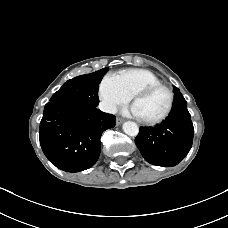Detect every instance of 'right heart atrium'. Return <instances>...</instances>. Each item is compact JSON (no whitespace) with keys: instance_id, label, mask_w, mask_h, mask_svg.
<instances>
[{"instance_id":"right-heart-atrium-1","label":"right heart atrium","mask_w":228,"mask_h":228,"mask_svg":"<svg viewBox=\"0 0 228 228\" xmlns=\"http://www.w3.org/2000/svg\"><path fill=\"white\" fill-rule=\"evenodd\" d=\"M98 95L100 106L107 113H114L119 106L127 104L131 99L117 74H106L102 78Z\"/></svg>"}]
</instances>
